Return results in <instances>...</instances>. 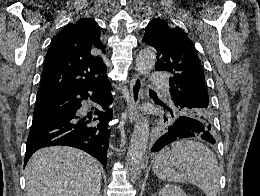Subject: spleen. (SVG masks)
Masks as SVG:
<instances>
[{
  "mask_svg": "<svg viewBox=\"0 0 260 196\" xmlns=\"http://www.w3.org/2000/svg\"><path fill=\"white\" fill-rule=\"evenodd\" d=\"M181 168L182 172H176ZM153 172L163 182H190L205 196H217L220 170L212 150L201 142L181 140L163 148L153 162Z\"/></svg>",
  "mask_w": 260,
  "mask_h": 196,
  "instance_id": "obj_1",
  "label": "spleen"
}]
</instances>
